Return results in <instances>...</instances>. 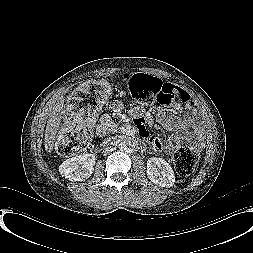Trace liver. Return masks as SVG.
<instances>
[{"instance_id": "liver-1", "label": "liver", "mask_w": 253, "mask_h": 253, "mask_svg": "<svg viewBox=\"0 0 253 253\" xmlns=\"http://www.w3.org/2000/svg\"><path fill=\"white\" fill-rule=\"evenodd\" d=\"M64 97L60 96L57 98L56 102L50 112L49 119L47 121L45 130V150L49 153L53 151L55 141L57 138V133L60 130V124L63 113Z\"/></svg>"}]
</instances>
